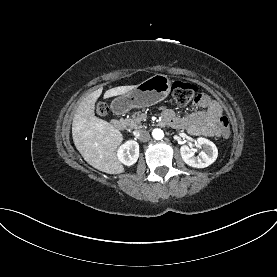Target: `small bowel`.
Here are the masks:
<instances>
[{
  "mask_svg": "<svg viewBox=\"0 0 277 277\" xmlns=\"http://www.w3.org/2000/svg\"><path fill=\"white\" fill-rule=\"evenodd\" d=\"M195 105L203 109L183 117H179L170 109L164 108L163 119L172 127L184 129L192 135L221 136L222 107L220 103L209 95L203 94L201 99L195 102Z\"/></svg>",
  "mask_w": 277,
  "mask_h": 277,
  "instance_id": "c3829d8e",
  "label": "small bowel"
}]
</instances>
